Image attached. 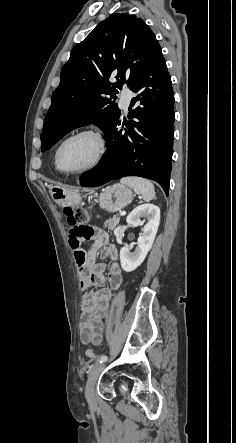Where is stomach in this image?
Listing matches in <instances>:
<instances>
[{"label":"stomach","mask_w":236,"mask_h":443,"mask_svg":"<svg viewBox=\"0 0 236 443\" xmlns=\"http://www.w3.org/2000/svg\"><path fill=\"white\" fill-rule=\"evenodd\" d=\"M51 196L61 206L75 205L81 200L77 192L62 186L53 187ZM133 197L134 194L128 186L117 183L103 190L99 197V205L102 209L114 213L128 206Z\"/></svg>","instance_id":"stomach-1"}]
</instances>
